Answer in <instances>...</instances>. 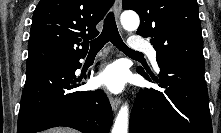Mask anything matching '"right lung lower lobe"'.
<instances>
[{"instance_id": "obj_1", "label": "right lung lower lobe", "mask_w": 221, "mask_h": 133, "mask_svg": "<svg viewBox=\"0 0 221 133\" xmlns=\"http://www.w3.org/2000/svg\"><path fill=\"white\" fill-rule=\"evenodd\" d=\"M79 59L27 67L17 133H36L57 126L82 133H109L113 113L103 91L74 90L79 86L75 78L81 66Z\"/></svg>"}]
</instances>
